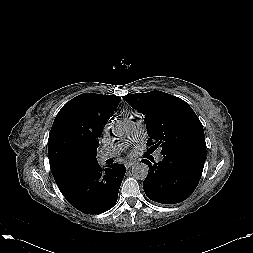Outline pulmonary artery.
<instances>
[{
    "label": "pulmonary artery",
    "mask_w": 253,
    "mask_h": 253,
    "mask_svg": "<svg viewBox=\"0 0 253 253\" xmlns=\"http://www.w3.org/2000/svg\"><path fill=\"white\" fill-rule=\"evenodd\" d=\"M125 123L127 127V133H128V139L129 140H135L140 137L143 125H142V119L140 116L135 115L134 117L125 118ZM128 142H124L121 144H117L115 146H112L111 148L101 152L98 155V160L100 162H103L107 160L108 158H112L116 156L120 151H122L126 146ZM157 160L162 161L163 155L161 153L157 154Z\"/></svg>",
    "instance_id": "1"
}]
</instances>
